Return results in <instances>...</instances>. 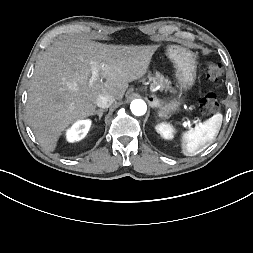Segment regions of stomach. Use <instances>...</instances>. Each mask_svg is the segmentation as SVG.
I'll use <instances>...</instances> for the list:
<instances>
[{
	"instance_id": "obj_1",
	"label": "stomach",
	"mask_w": 253,
	"mask_h": 253,
	"mask_svg": "<svg viewBox=\"0 0 253 253\" xmlns=\"http://www.w3.org/2000/svg\"><path fill=\"white\" fill-rule=\"evenodd\" d=\"M167 56L173 62L175 68V79L181 89L191 88L196 79L197 61L196 55L178 45H171L167 48ZM152 105L159 109L161 117H167L170 113L178 110L180 101L173 99L168 102L159 100L156 96H151Z\"/></svg>"
}]
</instances>
